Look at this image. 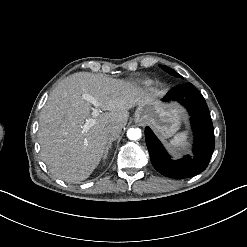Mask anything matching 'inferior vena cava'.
I'll use <instances>...</instances> for the list:
<instances>
[{
  "label": "inferior vena cava",
  "instance_id": "1",
  "mask_svg": "<svg viewBox=\"0 0 247 247\" xmlns=\"http://www.w3.org/2000/svg\"><path fill=\"white\" fill-rule=\"evenodd\" d=\"M107 135L109 136V141L110 140H116L119 135L122 132V128L118 125H114V126H108L105 129Z\"/></svg>",
  "mask_w": 247,
  "mask_h": 247
}]
</instances>
